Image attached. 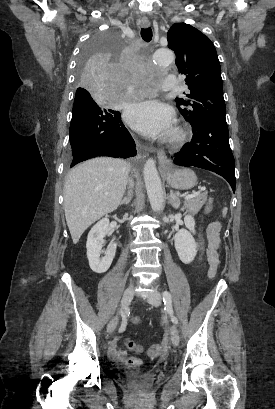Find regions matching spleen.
<instances>
[{
	"label": "spleen",
	"instance_id": "obj_1",
	"mask_svg": "<svg viewBox=\"0 0 275 409\" xmlns=\"http://www.w3.org/2000/svg\"><path fill=\"white\" fill-rule=\"evenodd\" d=\"M227 211H228L227 207H224V209H222V215H223V217H226Z\"/></svg>",
	"mask_w": 275,
	"mask_h": 409
}]
</instances>
